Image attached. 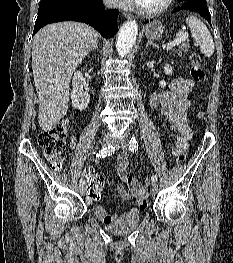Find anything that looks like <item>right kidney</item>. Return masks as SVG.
I'll return each instance as SVG.
<instances>
[{
  "mask_svg": "<svg viewBox=\"0 0 233 263\" xmlns=\"http://www.w3.org/2000/svg\"><path fill=\"white\" fill-rule=\"evenodd\" d=\"M85 79L81 72L77 71L74 73L71 91L72 105L75 109L85 110L90 101V95L83 91Z\"/></svg>",
  "mask_w": 233,
  "mask_h": 263,
  "instance_id": "ca27d5eb",
  "label": "right kidney"
}]
</instances>
